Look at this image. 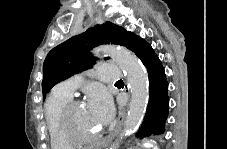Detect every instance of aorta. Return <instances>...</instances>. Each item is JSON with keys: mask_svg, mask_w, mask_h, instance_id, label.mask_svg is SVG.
<instances>
[{"mask_svg": "<svg viewBox=\"0 0 227 149\" xmlns=\"http://www.w3.org/2000/svg\"><path fill=\"white\" fill-rule=\"evenodd\" d=\"M100 52L109 55L123 70L131 91V101L120 139L133 133L141 124L149 98L148 75L135 55L125 48L106 46ZM116 142L111 149H117Z\"/></svg>", "mask_w": 227, "mask_h": 149, "instance_id": "762f6f07", "label": "aorta"}]
</instances>
